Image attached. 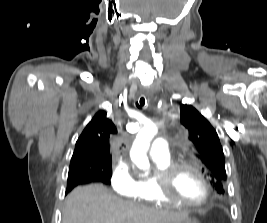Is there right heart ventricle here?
<instances>
[{
	"instance_id": "right-heart-ventricle-1",
	"label": "right heart ventricle",
	"mask_w": 267,
	"mask_h": 223,
	"mask_svg": "<svg viewBox=\"0 0 267 223\" xmlns=\"http://www.w3.org/2000/svg\"><path fill=\"white\" fill-rule=\"evenodd\" d=\"M157 171L164 169L165 167L169 166L172 163V160L166 159H157L153 158ZM156 175L152 176H140L137 178L135 187L133 189V192L129 195H131L133 198H135L138 201L147 202L153 205H163L165 202L162 200V198L159 196L155 179Z\"/></svg>"
}]
</instances>
